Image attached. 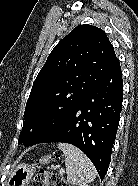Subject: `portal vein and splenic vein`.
Instances as JSON below:
<instances>
[{"instance_id":"portal-vein-and-splenic-vein-1","label":"portal vein and splenic vein","mask_w":138,"mask_h":186,"mask_svg":"<svg viewBox=\"0 0 138 186\" xmlns=\"http://www.w3.org/2000/svg\"><path fill=\"white\" fill-rule=\"evenodd\" d=\"M64 172V169H60V174H63Z\"/></svg>"}]
</instances>
